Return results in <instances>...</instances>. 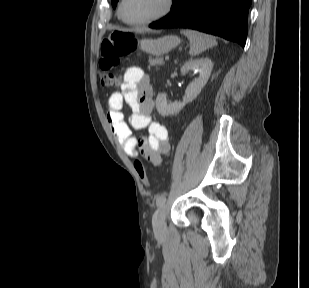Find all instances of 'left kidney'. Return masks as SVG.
Listing matches in <instances>:
<instances>
[{"mask_svg":"<svg viewBox=\"0 0 309 288\" xmlns=\"http://www.w3.org/2000/svg\"><path fill=\"white\" fill-rule=\"evenodd\" d=\"M196 69L199 70V77L188 85L183 102L171 103L167 101L165 93H159L157 95L156 108L160 115L168 116L180 112L187 103L193 101L199 95L210 77L213 63L209 58L190 60L182 66L181 72L185 74L188 71Z\"/></svg>","mask_w":309,"mask_h":288,"instance_id":"obj_1","label":"left kidney"}]
</instances>
